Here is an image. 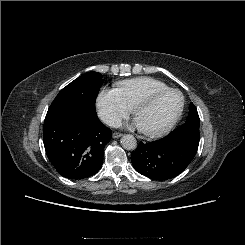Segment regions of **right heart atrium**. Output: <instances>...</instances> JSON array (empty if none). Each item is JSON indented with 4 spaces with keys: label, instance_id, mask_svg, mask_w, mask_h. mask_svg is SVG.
I'll use <instances>...</instances> for the list:
<instances>
[{
    "label": "right heart atrium",
    "instance_id": "obj_1",
    "mask_svg": "<svg viewBox=\"0 0 245 245\" xmlns=\"http://www.w3.org/2000/svg\"><path fill=\"white\" fill-rule=\"evenodd\" d=\"M100 118L109 126H116L131 113V108L115 89L103 88L96 99Z\"/></svg>",
    "mask_w": 245,
    "mask_h": 245
}]
</instances>
